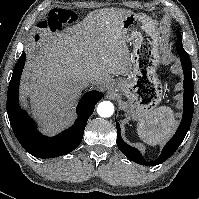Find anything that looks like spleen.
I'll use <instances>...</instances> for the list:
<instances>
[{
	"label": "spleen",
	"mask_w": 199,
	"mask_h": 199,
	"mask_svg": "<svg viewBox=\"0 0 199 199\" xmlns=\"http://www.w3.org/2000/svg\"><path fill=\"white\" fill-rule=\"evenodd\" d=\"M175 125L173 110L161 106L139 121L137 133L145 143L154 146L164 143L173 133Z\"/></svg>",
	"instance_id": "3e777b00"
}]
</instances>
